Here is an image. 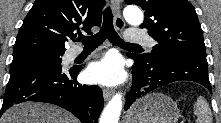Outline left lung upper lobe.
Segmentation results:
<instances>
[{
  "mask_svg": "<svg viewBox=\"0 0 221 123\" xmlns=\"http://www.w3.org/2000/svg\"><path fill=\"white\" fill-rule=\"evenodd\" d=\"M145 11L141 28L158 42L151 53L137 55L146 60L176 55L206 58L202 29L194 7L187 0H125Z\"/></svg>",
  "mask_w": 221,
  "mask_h": 123,
  "instance_id": "obj_1",
  "label": "left lung upper lobe"
}]
</instances>
